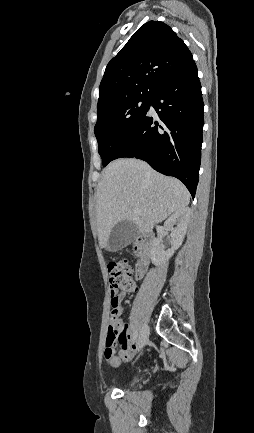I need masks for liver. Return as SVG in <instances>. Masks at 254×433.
I'll list each match as a JSON object with an SVG mask.
<instances>
[{
    "instance_id": "1",
    "label": "liver",
    "mask_w": 254,
    "mask_h": 433,
    "mask_svg": "<svg viewBox=\"0 0 254 433\" xmlns=\"http://www.w3.org/2000/svg\"><path fill=\"white\" fill-rule=\"evenodd\" d=\"M187 188L177 179L154 171L138 159H117L104 170L97 186L96 222L101 248H107L112 228L132 221L140 233L149 232L170 214L186 208ZM139 208L141 213H135Z\"/></svg>"
}]
</instances>
